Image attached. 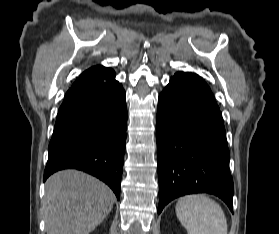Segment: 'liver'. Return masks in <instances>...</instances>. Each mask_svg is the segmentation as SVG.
<instances>
[{
  "instance_id": "6515ba94",
  "label": "liver",
  "mask_w": 279,
  "mask_h": 234,
  "mask_svg": "<svg viewBox=\"0 0 279 234\" xmlns=\"http://www.w3.org/2000/svg\"><path fill=\"white\" fill-rule=\"evenodd\" d=\"M111 189L76 170H64L46 182L43 209L47 234H89L110 213Z\"/></svg>"
}]
</instances>
